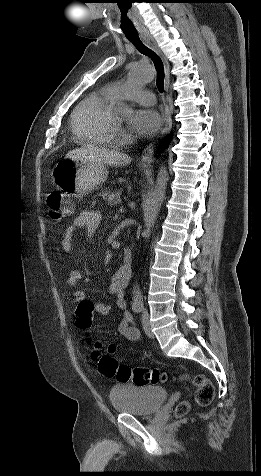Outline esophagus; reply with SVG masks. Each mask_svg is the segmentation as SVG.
<instances>
[{
	"instance_id": "1",
	"label": "esophagus",
	"mask_w": 261,
	"mask_h": 476,
	"mask_svg": "<svg viewBox=\"0 0 261 476\" xmlns=\"http://www.w3.org/2000/svg\"><path fill=\"white\" fill-rule=\"evenodd\" d=\"M141 39L147 46H149L162 59L163 65H164V72H165V91L168 92V88L170 84V73H169L170 67L166 57L163 55V53L157 46L154 38L149 33L142 34ZM171 127H172L171 113L168 109V105H166L165 114H164V126L161 130L159 137L162 138L163 136L168 134L171 130ZM155 144L156 143H153V144L151 143L145 148L142 155V163L144 165H149L153 161V156H154L155 147H156Z\"/></svg>"
}]
</instances>
